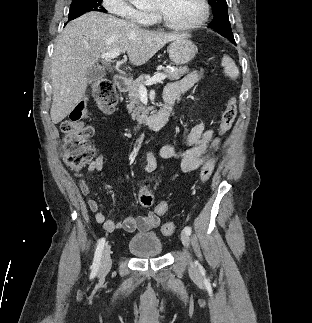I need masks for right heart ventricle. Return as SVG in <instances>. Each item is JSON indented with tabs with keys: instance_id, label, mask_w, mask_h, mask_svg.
<instances>
[{
	"instance_id": "1",
	"label": "right heart ventricle",
	"mask_w": 312,
	"mask_h": 323,
	"mask_svg": "<svg viewBox=\"0 0 312 323\" xmlns=\"http://www.w3.org/2000/svg\"><path fill=\"white\" fill-rule=\"evenodd\" d=\"M143 18L144 20H156L157 15L156 13H144Z\"/></svg>"
}]
</instances>
